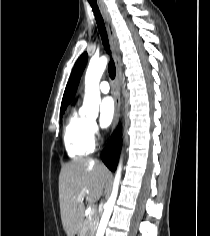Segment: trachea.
I'll use <instances>...</instances> for the list:
<instances>
[{"mask_svg": "<svg viewBox=\"0 0 210 236\" xmlns=\"http://www.w3.org/2000/svg\"><path fill=\"white\" fill-rule=\"evenodd\" d=\"M89 3H90V5L92 7V10L94 12L97 27L99 29V33L101 35V39H102L104 48H105L106 52L108 54H110L111 52H110L109 41H108V36H107L105 24H104L103 18L101 16V13L99 11V8L97 6V3H96L95 0H89ZM108 72H109L110 78L114 79L115 75H116V69H115V64H114L113 59H111L110 62H109Z\"/></svg>", "mask_w": 210, "mask_h": 236, "instance_id": "obj_1", "label": "trachea"}]
</instances>
